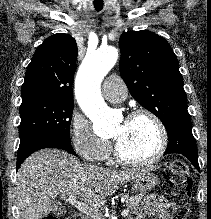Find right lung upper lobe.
I'll return each instance as SVG.
<instances>
[{"instance_id":"cb5924a9","label":"right lung upper lobe","mask_w":211,"mask_h":219,"mask_svg":"<svg viewBox=\"0 0 211 219\" xmlns=\"http://www.w3.org/2000/svg\"><path fill=\"white\" fill-rule=\"evenodd\" d=\"M77 44L68 34L48 37L35 51L21 87L22 101L52 98L73 101Z\"/></svg>"}]
</instances>
